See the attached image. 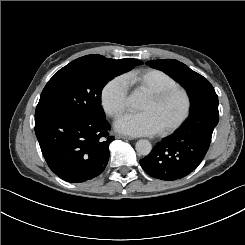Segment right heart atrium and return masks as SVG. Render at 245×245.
I'll return each instance as SVG.
<instances>
[{"label": "right heart atrium", "mask_w": 245, "mask_h": 245, "mask_svg": "<svg viewBox=\"0 0 245 245\" xmlns=\"http://www.w3.org/2000/svg\"><path fill=\"white\" fill-rule=\"evenodd\" d=\"M129 87L124 81L115 77L109 80L101 91V104L105 112L113 117H119L125 110Z\"/></svg>", "instance_id": "d8ad5b80"}]
</instances>
